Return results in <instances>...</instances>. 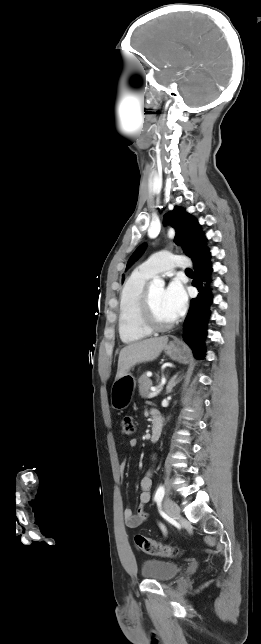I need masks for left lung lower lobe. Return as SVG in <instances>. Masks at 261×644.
Instances as JSON below:
<instances>
[{"instance_id": "1", "label": "left lung lower lobe", "mask_w": 261, "mask_h": 644, "mask_svg": "<svg viewBox=\"0 0 261 644\" xmlns=\"http://www.w3.org/2000/svg\"><path fill=\"white\" fill-rule=\"evenodd\" d=\"M210 255L201 261L194 262L195 279L192 285L199 293L191 299L190 308L184 322L183 338L192 348L197 359L205 357V338L207 335V322L210 318V306L213 295L211 288V273L213 272Z\"/></svg>"}]
</instances>
